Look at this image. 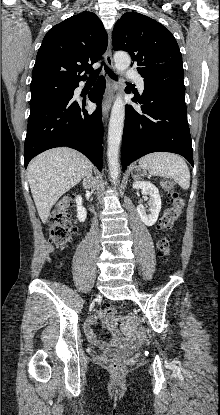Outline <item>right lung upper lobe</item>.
<instances>
[{"label": "right lung upper lobe", "mask_w": 220, "mask_h": 415, "mask_svg": "<svg viewBox=\"0 0 220 415\" xmlns=\"http://www.w3.org/2000/svg\"><path fill=\"white\" fill-rule=\"evenodd\" d=\"M108 36L101 20L92 12L74 15L52 27L38 50L32 82L56 79L79 83L83 70H93L105 52Z\"/></svg>", "instance_id": "right-lung-upper-lobe-1"}]
</instances>
